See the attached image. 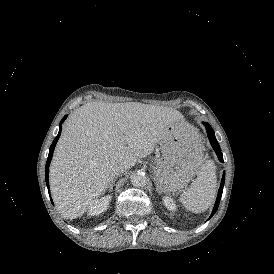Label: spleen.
Wrapping results in <instances>:
<instances>
[{"mask_svg":"<svg viewBox=\"0 0 274 274\" xmlns=\"http://www.w3.org/2000/svg\"><path fill=\"white\" fill-rule=\"evenodd\" d=\"M191 148L197 156V164L199 165V175L192 184L185 189L181 196L180 202L188 210L199 213L208 209L216 196L217 181L215 175V165L211 160L203 158L201 141L197 131L195 137L191 141Z\"/></svg>","mask_w":274,"mask_h":274,"instance_id":"obj_1","label":"spleen"}]
</instances>
